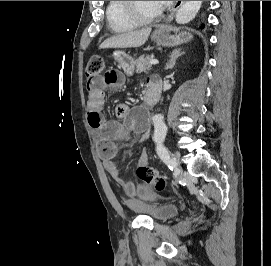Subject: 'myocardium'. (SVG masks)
<instances>
[{"label":"myocardium","mask_w":271,"mask_h":266,"mask_svg":"<svg viewBox=\"0 0 271 266\" xmlns=\"http://www.w3.org/2000/svg\"><path fill=\"white\" fill-rule=\"evenodd\" d=\"M122 6L126 16L137 25H145L156 22L162 16V11H159L157 14L150 17L143 16L136 10L135 1H122Z\"/></svg>","instance_id":"1"}]
</instances>
